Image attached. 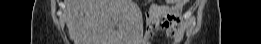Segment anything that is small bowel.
<instances>
[{"label":"small bowel","instance_id":"1","mask_svg":"<svg viewBox=\"0 0 261 44\" xmlns=\"http://www.w3.org/2000/svg\"><path fill=\"white\" fill-rule=\"evenodd\" d=\"M181 10L182 6H172L171 4L152 5L147 37L151 38L156 33H164L175 40L182 38L184 23L181 18Z\"/></svg>","mask_w":261,"mask_h":44}]
</instances>
